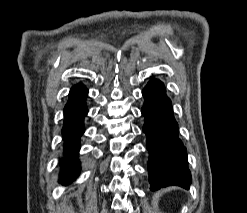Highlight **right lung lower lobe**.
<instances>
[{
    "instance_id": "98d812e1",
    "label": "right lung lower lobe",
    "mask_w": 247,
    "mask_h": 213,
    "mask_svg": "<svg viewBox=\"0 0 247 213\" xmlns=\"http://www.w3.org/2000/svg\"><path fill=\"white\" fill-rule=\"evenodd\" d=\"M87 93V89L81 84L72 87L64 109L62 134L65 140V159L61 162L60 182L62 184L72 182L80 171V162L77 156L80 148V137L84 132L83 121L88 112L86 106Z\"/></svg>"
}]
</instances>
